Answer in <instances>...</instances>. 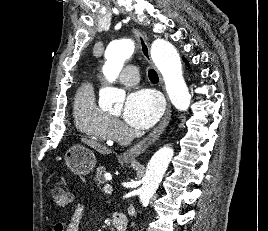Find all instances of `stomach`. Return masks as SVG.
Returning a JSON list of instances; mask_svg holds the SVG:
<instances>
[{
    "mask_svg": "<svg viewBox=\"0 0 268 231\" xmlns=\"http://www.w3.org/2000/svg\"><path fill=\"white\" fill-rule=\"evenodd\" d=\"M64 160L67 167L76 175H87L96 166L94 153L82 145L69 148L65 153Z\"/></svg>",
    "mask_w": 268,
    "mask_h": 231,
    "instance_id": "stomach-1",
    "label": "stomach"
}]
</instances>
